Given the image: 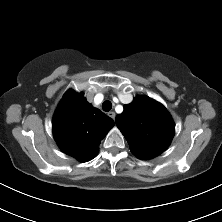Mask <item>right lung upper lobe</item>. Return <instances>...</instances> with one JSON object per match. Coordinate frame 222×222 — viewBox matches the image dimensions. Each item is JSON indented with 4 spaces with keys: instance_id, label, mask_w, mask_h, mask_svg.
Wrapping results in <instances>:
<instances>
[{
    "instance_id": "right-lung-upper-lobe-1",
    "label": "right lung upper lobe",
    "mask_w": 222,
    "mask_h": 222,
    "mask_svg": "<svg viewBox=\"0 0 222 222\" xmlns=\"http://www.w3.org/2000/svg\"><path fill=\"white\" fill-rule=\"evenodd\" d=\"M52 126L60 149L86 162L96 157L98 146L114 121L88 103L83 93L68 90L54 113Z\"/></svg>"
}]
</instances>
